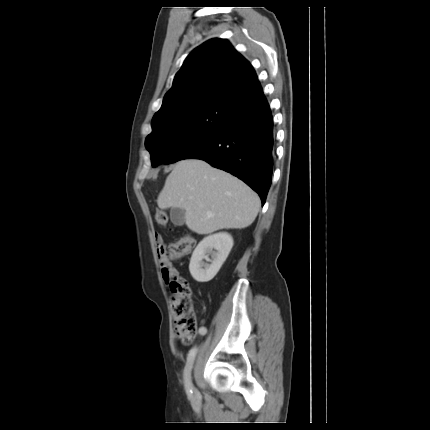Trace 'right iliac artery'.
Returning <instances> with one entry per match:
<instances>
[{"mask_svg": "<svg viewBox=\"0 0 430 430\" xmlns=\"http://www.w3.org/2000/svg\"><path fill=\"white\" fill-rule=\"evenodd\" d=\"M199 333H200V335H205L206 331L200 330ZM196 353H197V346L195 345L194 347L191 348V350L188 353L187 363H186V367L184 370V384H185L187 395L189 397H191L192 393H193V386H192V382H191V368H192V364H193Z\"/></svg>", "mask_w": 430, "mask_h": 430, "instance_id": "82829eb1", "label": "right iliac artery"}]
</instances>
